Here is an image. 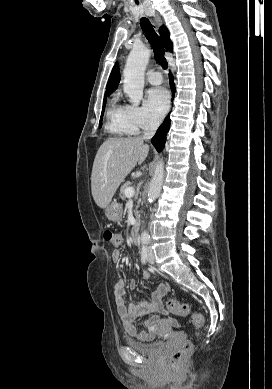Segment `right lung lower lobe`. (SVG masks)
<instances>
[{
	"label": "right lung lower lobe",
	"mask_w": 272,
	"mask_h": 389,
	"mask_svg": "<svg viewBox=\"0 0 272 389\" xmlns=\"http://www.w3.org/2000/svg\"><path fill=\"white\" fill-rule=\"evenodd\" d=\"M169 77H170V87L172 89V93L174 96L175 84L173 82V76L171 73H170ZM169 128H170V118H169V116H167L165 118L164 122L162 123V125L158 128L154 137L151 139L152 144L155 146V148L158 152L162 151V149L164 148V145L166 142V135H167V132L169 131Z\"/></svg>",
	"instance_id": "98d812e1"
}]
</instances>
